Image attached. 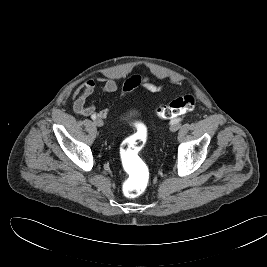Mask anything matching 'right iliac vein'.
Instances as JSON below:
<instances>
[{"mask_svg":"<svg viewBox=\"0 0 267 267\" xmlns=\"http://www.w3.org/2000/svg\"><path fill=\"white\" fill-rule=\"evenodd\" d=\"M94 124L97 126V127H102L103 126V120L101 118H97L94 120Z\"/></svg>","mask_w":267,"mask_h":267,"instance_id":"obj_1","label":"right iliac vein"}]
</instances>
